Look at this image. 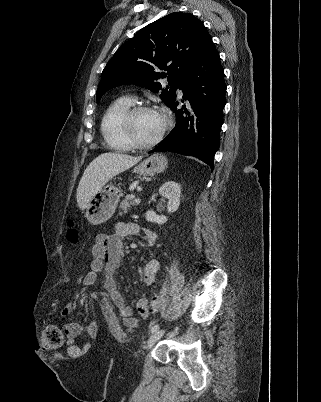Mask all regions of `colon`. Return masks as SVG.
I'll list each match as a JSON object with an SVG mask.
<instances>
[{"label":"colon","mask_w":321,"mask_h":402,"mask_svg":"<svg viewBox=\"0 0 321 402\" xmlns=\"http://www.w3.org/2000/svg\"><path fill=\"white\" fill-rule=\"evenodd\" d=\"M79 234L78 231L71 225L68 231V239L70 243L76 244L78 242ZM79 282L84 280L82 275L77 277ZM161 307V301L158 297H153L150 302V307L145 308L144 306H139L138 310L141 314H146L147 312L153 311L157 312ZM64 335L61 329L54 324H48L44 327L42 333V347L46 350H57L63 346Z\"/></svg>","instance_id":"obj_1"}]
</instances>
